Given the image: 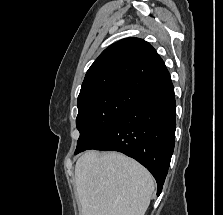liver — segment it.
<instances>
[{
	"label": "liver",
	"instance_id": "6515ba94",
	"mask_svg": "<svg viewBox=\"0 0 223 215\" xmlns=\"http://www.w3.org/2000/svg\"><path fill=\"white\" fill-rule=\"evenodd\" d=\"M75 183L83 215H144L154 191L150 171L119 151H85Z\"/></svg>",
	"mask_w": 223,
	"mask_h": 215
}]
</instances>
